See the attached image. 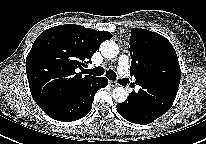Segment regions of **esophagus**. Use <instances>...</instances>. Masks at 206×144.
I'll list each match as a JSON object with an SVG mask.
<instances>
[{"instance_id":"obj_1","label":"esophagus","mask_w":206,"mask_h":144,"mask_svg":"<svg viewBox=\"0 0 206 144\" xmlns=\"http://www.w3.org/2000/svg\"><path fill=\"white\" fill-rule=\"evenodd\" d=\"M109 85H110L111 87H116V86L118 85V83H117V81L110 80V81H109Z\"/></svg>"}]
</instances>
